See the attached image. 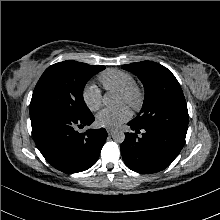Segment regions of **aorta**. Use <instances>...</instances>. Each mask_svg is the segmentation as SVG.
Masks as SVG:
<instances>
[{"instance_id":"aorta-1","label":"aorta","mask_w":220,"mask_h":220,"mask_svg":"<svg viewBox=\"0 0 220 220\" xmlns=\"http://www.w3.org/2000/svg\"><path fill=\"white\" fill-rule=\"evenodd\" d=\"M102 101L106 107H112L116 103L115 97L111 95H104ZM112 138L114 142L122 143L125 140V134L122 131H116L113 133Z\"/></svg>"}]
</instances>
